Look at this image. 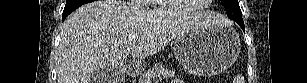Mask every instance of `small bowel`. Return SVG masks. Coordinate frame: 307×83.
Wrapping results in <instances>:
<instances>
[{
	"label": "small bowel",
	"instance_id": "small-bowel-1",
	"mask_svg": "<svg viewBox=\"0 0 307 83\" xmlns=\"http://www.w3.org/2000/svg\"><path fill=\"white\" fill-rule=\"evenodd\" d=\"M173 83H183V81L179 80V79H175L172 81Z\"/></svg>",
	"mask_w": 307,
	"mask_h": 83
}]
</instances>
